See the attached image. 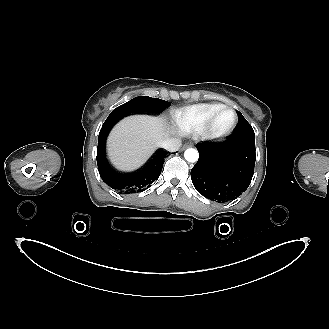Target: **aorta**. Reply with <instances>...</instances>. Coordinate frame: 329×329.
Masks as SVG:
<instances>
[{
	"label": "aorta",
	"mask_w": 329,
	"mask_h": 329,
	"mask_svg": "<svg viewBox=\"0 0 329 329\" xmlns=\"http://www.w3.org/2000/svg\"><path fill=\"white\" fill-rule=\"evenodd\" d=\"M184 157L188 162L194 163L198 161L199 153L193 148H188L184 152Z\"/></svg>",
	"instance_id": "1"
}]
</instances>
